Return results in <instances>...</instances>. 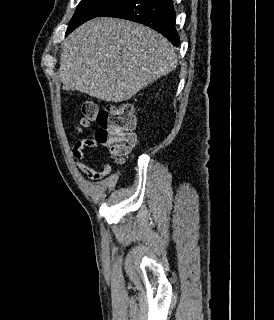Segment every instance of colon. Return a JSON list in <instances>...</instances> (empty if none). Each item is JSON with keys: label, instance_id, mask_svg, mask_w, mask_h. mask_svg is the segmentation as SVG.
Masks as SVG:
<instances>
[{"label": "colon", "instance_id": "5ec220e1", "mask_svg": "<svg viewBox=\"0 0 274 320\" xmlns=\"http://www.w3.org/2000/svg\"><path fill=\"white\" fill-rule=\"evenodd\" d=\"M79 113L81 119L77 132H82L90 122H95L97 127L90 143L109 148L115 162L122 163L136 142L134 108L123 104L98 106L87 101L81 103Z\"/></svg>", "mask_w": 274, "mask_h": 320}]
</instances>
